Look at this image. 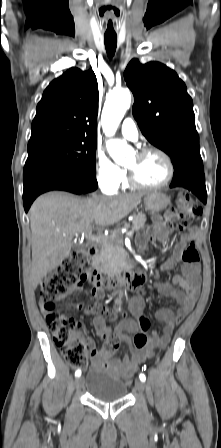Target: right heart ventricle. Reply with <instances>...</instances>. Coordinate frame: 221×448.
Returning a JSON list of instances; mask_svg holds the SVG:
<instances>
[{
  "label": "right heart ventricle",
  "mask_w": 221,
  "mask_h": 448,
  "mask_svg": "<svg viewBox=\"0 0 221 448\" xmlns=\"http://www.w3.org/2000/svg\"><path fill=\"white\" fill-rule=\"evenodd\" d=\"M125 176H126V174H125ZM128 186H129V185H128V182H127L126 178L124 177V180H123V187L126 188V187H128Z\"/></svg>",
  "instance_id": "e07e8e85"
}]
</instances>
